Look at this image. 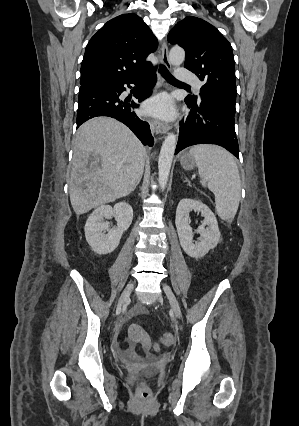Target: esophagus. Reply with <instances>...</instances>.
I'll return each mask as SVG.
<instances>
[{
	"mask_svg": "<svg viewBox=\"0 0 299 426\" xmlns=\"http://www.w3.org/2000/svg\"><path fill=\"white\" fill-rule=\"evenodd\" d=\"M161 64L171 69V63L169 61V56H168V46L165 41H163L161 46ZM158 78H159V85L163 86L165 84V80L160 73L158 74ZM152 126L155 129L157 134H165L170 129V126L168 124L156 119L152 120Z\"/></svg>",
	"mask_w": 299,
	"mask_h": 426,
	"instance_id": "obj_1",
	"label": "esophagus"
}]
</instances>
